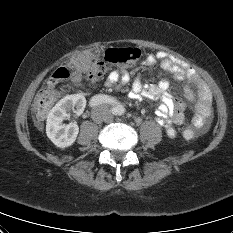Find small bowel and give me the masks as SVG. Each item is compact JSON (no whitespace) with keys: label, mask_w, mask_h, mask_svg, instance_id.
<instances>
[{"label":"small bowel","mask_w":233,"mask_h":233,"mask_svg":"<svg viewBox=\"0 0 233 233\" xmlns=\"http://www.w3.org/2000/svg\"><path fill=\"white\" fill-rule=\"evenodd\" d=\"M89 58L79 56L76 59V65L79 71H85L89 64ZM160 63L161 67L172 74L175 79L184 80L188 83L185 90V96L189 100L196 102L192 124L202 132L206 129L208 119L211 115L212 96L206 83L190 67L185 66L172 58L163 51L148 54L144 65L152 67ZM130 74L124 68L110 72L106 78L105 85L108 87H121L130 82ZM73 83L80 82L79 74L73 76ZM170 82L168 79H162L158 83H143L136 78L132 84L130 95L132 98L141 96L156 99L159 101L155 111L156 121L165 127H171L173 124H181L184 120L185 104L180 99H176L169 91Z\"/></svg>","instance_id":"c3829d8e"}]
</instances>
